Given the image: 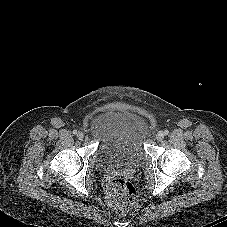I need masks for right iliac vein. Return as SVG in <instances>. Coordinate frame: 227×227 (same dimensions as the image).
Returning a JSON list of instances; mask_svg holds the SVG:
<instances>
[{
  "label": "right iliac vein",
  "instance_id": "1",
  "mask_svg": "<svg viewBox=\"0 0 227 227\" xmlns=\"http://www.w3.org/2000/svg\"><path fill=\"white\" fill-rule=\"evenodd\" d=\"M77 137L79 140H83L84 139V133L83 132H78L77 133Z\"/></svg>",
  "mask_w": 227,
  "mask_h": 227
}]
</instances>
